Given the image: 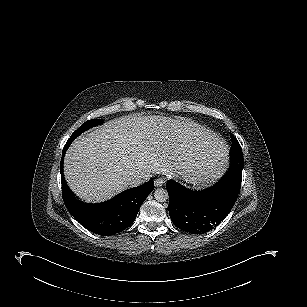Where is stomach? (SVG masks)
Wrapping results in <instances>:
<instances>
[{"label": "stomach", "mask_w": 307, "mask_h": 307, "mask_svg": "<svg viewBox=\"0 0 307 307\" xmlns=\"http://www.w3.org/2000/svg\"><path fill=\"white\" fill-rule=\"evenodd\" d=\"M220 173L221 172L204 171L197 176H191L189 182L197 188L205 187L214 182L220 176Z\"/></svg>", "instance_id": "0dacf381"}]
</instances>
